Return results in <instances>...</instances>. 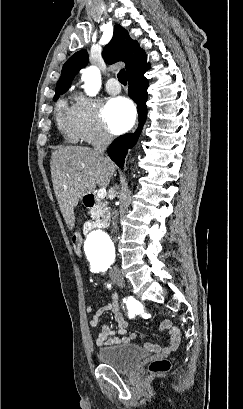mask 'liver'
<instances>
[{"mask_svg":"<svg viewBox=\"0 0 243 409\" xmlns=\"http://www.w3.org/2000/svg\"><path fill=\"white\" fill-rule=\"evenodd\" d=\"M51 177L61 213L70 230L75 223L74 208L80 198L106 188L115 171L114 163L95 150L81 146L59 147L51 155Z\"/></svg>","mask_w":243,"mask_h":409,"instance_id":"liver-1","label":"liver"}]
</instances>
